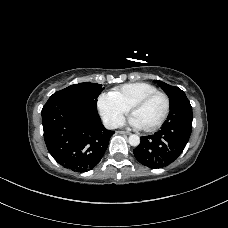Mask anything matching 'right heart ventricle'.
Wrapping results in <instances>:
<instances>
[{
    "mask_svg": "<svg viewBox=\"0 0 228 228\" xmlns=\"http://www.w3.org/2000/svg\"><path fill=\"white\" fill-rule=\"evenodd\" d=\"M157 87L147 82H135L121 85L111 91L112 95L126 108L151 92L157 91Z\"/></svg>",
    "mask_w": 228,
    "mask_h": 228,
    "instance_id": "obj_1",
    "label": "right heart ventricle"
}]
</instances>
